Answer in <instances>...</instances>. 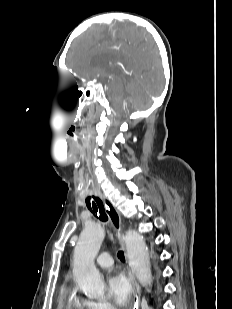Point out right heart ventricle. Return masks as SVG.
<instances>
[{"label":"right heart ventricle","mask_w":232,"mask_h":309,"mask_svg":"<svg viewBox=\"0 0 232 309\" xmlns=\"http://www.w3.org/2000/svg\"><path fill=\"white\" fill-rule=\"evenodd\" d=\"M64 307L65 309H87L84 300L77 297L69 298Z\"/></svg>","instance_id":"right-heart-ventricle-1"}]
</instances>
